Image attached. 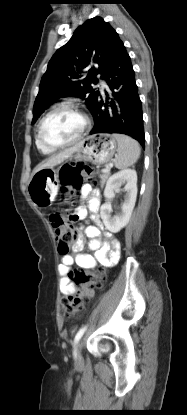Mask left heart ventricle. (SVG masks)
I'll return each instance as SVG.
<instances>
[{
  "instance_id": "1",
  "label": "left heart ventricle",
  "mask_w": 187,
  "mask_h": 415,
  "mask_svg": "<svg viewBox=\"0 0 187 415\" xmlns=\"http://www.w3.org/2000/svg\"><path fill=\"white\" fill-rule=\"evenodd\" d=\"M83 126L82 117L71 109H60L44 122L43 138L51 144H62L74 139Z\"/></svg>"
}]
</instances>
